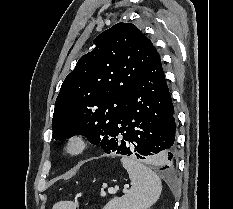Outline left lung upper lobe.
I'll return each instance as SVG.
<instances>
[{
	"label": "left lung upper lobe",
	"mask_w": 233,
	"mask_h": 209,
	"mask_svg": "<svg viewBox=\"0 0 233 209\" xmlns=\"http://www.w3.org/2000/svg\"><path fill=\"white\" fill-rule=\"evenodd\" d=\"M65 78L55 102L53 138L84 135L102 139L123 112L129 93L157 54L152 42L132 23H118L99 34Z\"/></svg>",
	"instance_id": "5c2ea615"
}]
</instances>
